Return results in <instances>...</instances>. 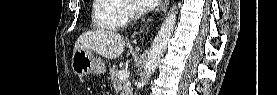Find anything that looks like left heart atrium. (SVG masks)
<instances>
[{
    "mask_svg": "<svg viewBox=\"0 0 277 95\" xmlns=\"http://www.w3.org/2000/svg\"><path fill=\"white\" fill-rule=\"evenodd\" d=\"M157 2V0H135V3L139 7V9L142 10L153 9L156 6Z\"/></svg>",
    "mask_w": 277,
    "mask_h": 95,
    "instance_id": "1",
    "label": "left heart atrium"
}]
</instances>
